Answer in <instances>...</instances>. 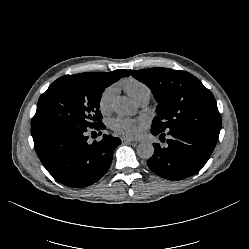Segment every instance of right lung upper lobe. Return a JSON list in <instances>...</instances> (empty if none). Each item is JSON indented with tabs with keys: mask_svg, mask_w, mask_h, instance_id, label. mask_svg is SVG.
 I'll return each instance as SVG.
<instances>
[{
	"mask_svg": "<svg viewBox=\"0 0 249 249\" xmlns=\"http://www.w3.org/2000/svg\"><path fill=\"white\" fill-rule=\"evenodd\" d=\"M102 74H107L109 75L110 77H113L114 79H116L117 81L122 78V77H125V76H129V73L127 70H116V71H113V72H100Z\"/></svg>",
	"mask_w": 249,
	"mask_h": 249,
	"instance_id": "cb5924a9",
	"label": "right lung upper lobe"
}]
</instances>
